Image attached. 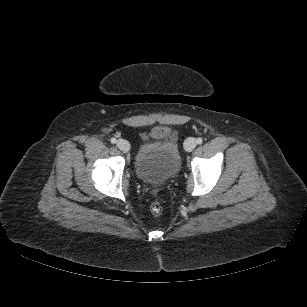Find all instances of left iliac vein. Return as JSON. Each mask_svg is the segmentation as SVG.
<instances>
[{"mask_svg":"<svg viewBox=\"0 0 307 307\" xmlns=\"http://www.w3.org/2000/svg\"><path fill=\"white\" fill-rule=\"evenodd\" d=\"M196 147V140L189 137L184 142V148L186 151L191 152Z\"/></svg>","mask_w":307,"mask_h":307,"instance_id":"obj_1","label":"left iliac vein"}]
</instances>
